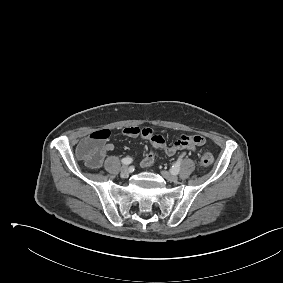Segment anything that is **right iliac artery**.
Here are the masks:
<instances>
[{"label":"right iliac artery","instance_id":"obj_1","mask_svg":"<svg viewBox=\"0 0 283 283\" xmlns=\"http://www.w3.org/2000/svg\"><path fill=\"white\" fill-rule=\"evenodd\" d=\"M123 165H128L132 162V158L131 157H125L121 160Z\"/></svg>","mask_w":283,"mask_h":283}]
</instances>
